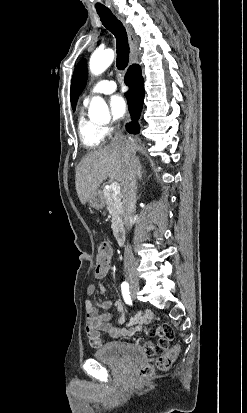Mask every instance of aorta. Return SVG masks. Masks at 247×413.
I'll use <instances>...</instances> for the list:
<instances>
[{
  "instance_id": "762f6f07",
  "label": "aorta",
  "mask_w": 247,
  "mask_h": 413,
  "mask_svg": "<svg viewBox=\"0 0 247 413\" xmlns=\"http://www.w3.org/2000/svg\"><path fill=\"white\" fill-rule=\"evenodd\" d=\"M114 52L112 49L94 52L91 55L89 68L92 74L103 73L113 62ZM90 118L99 119L109 116L108 106L101 97H94L90 102Z\"/></svg>"
}]
</instances>
